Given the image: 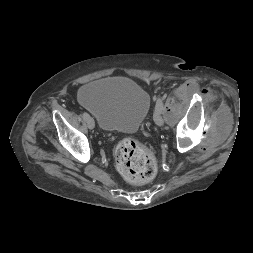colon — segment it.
<instances>
[{
	"label": "colon",
	"instance_id": "5ec220e1",
	"mask_svg": "<svg viewBox=\"0 0 253 253\" xmlns=\"http://www.w3.org/2000/svg\"><path fill=\"white\" fill-rule=\"evenodd\" d=\"M115 160L118 171L131 184L142 185L156 176L157 164L152 151L135 139L126 138L117 145Z\"/></svg>",
	"mask_w": 253,
	"mask_h": 253
}]
</instances>
